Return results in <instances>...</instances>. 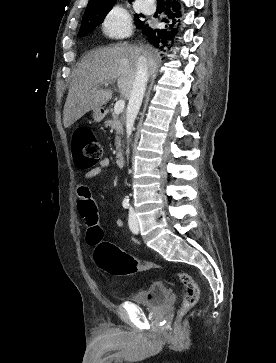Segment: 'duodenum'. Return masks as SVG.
Returning <instances> with one entry per match:
<instances>
[{"label":"duodenum","instance_id":"1","mask_svg":"<svg viewBox=\"0 0 276 363\" xmlns=\"http://www.w3.org/2000/svg\"><path fill=\"white\" fill-rule=\"evenodd\" d=\"M115 161L118 166H122L124 163V153L122 151H118L115 156Z\"/></svg>","mask_w":276,"mask_h":363}]
</instances>
